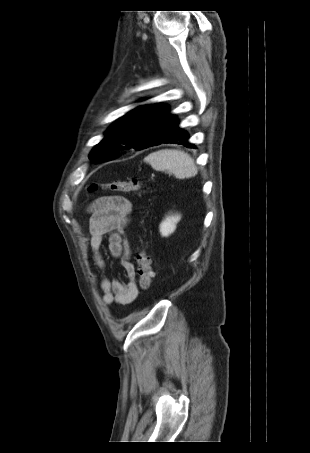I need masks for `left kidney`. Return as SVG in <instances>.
I'll use <instances>...</instances> for the list:
<instances>
[{
    "label": "left kidney",
    "instance_id": "5707ae66",
    "mask_svg": "<svg viewBox=\"0 0 310 453\" xmlns=\"http://www.w3.org/2000/svg\"><path fill=\"white\" fill-rule=\"evenodd\" d=\"M181 216L179 214L167 216L160 224V233L163 237H168L172 234L177 223L180 221Z\"/></svg>",
    "mask_w": 310,
    "mask_h": 453
}]
</instances>
